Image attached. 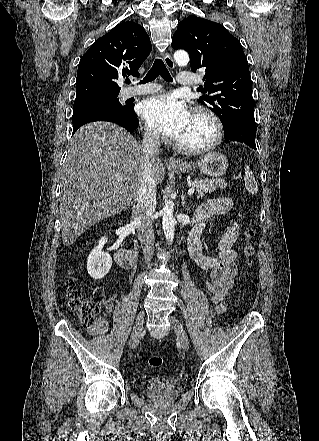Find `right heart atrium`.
<instances>
[{"label": "right heart atrium", "instance_id": "d8ad5b80", "mask_svg": "<svg viewBox=\"0 0 319 441\" xmlns=\"http://www.w3.org/2000/svg\"><path fill=\"white\" fill-rule=\"evenodd\" d=\"M144 135L145 138L150 142H158L160 140V135L149 127L145 128Z\"/></svg>", "mask_w": 319, "mask_h": 441}]
</instances>
